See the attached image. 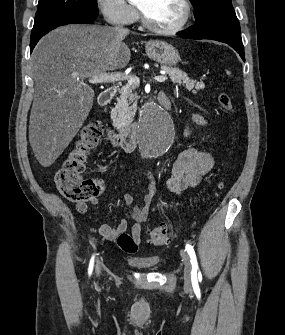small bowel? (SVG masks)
<instances>
[{"mask_svg":"<svg viewBox=\"0 0 285 335\" xmlns=\"http://www.w3.org/2000/svg\"><path fill=\"white\" fill-rule=\"evenodd\" d=\"M162 99H167L165 96ZM193 120L196 124H204V118L195 113ZM190 131L187 130L185 135L188 136ZM214 159L210 152L196 147H189L179 153L171 168V176L165 184V189L179 194L190 187L196 186L202 177L212 168ZM141 180L144 181V192L140 203L131 208V217L133 220L132 235L139 243L142 237V227L149 217L150 207L156 198L159 186L150 174H143ZM123 201L127 205H132L134 198L131 194L125 193ZM91 205H97L96 198L91 200ZM76 210L81 214L89 212V206L85 203H76ZM128 227L126 219H121L115 226L103 224L99 227L98 233L107 241L115 240L121 233L125 232Z\"/></svg>","mask_w":285,"mask_h":335,"instance_id":"1","label":"small bowel"}]
</instances>
